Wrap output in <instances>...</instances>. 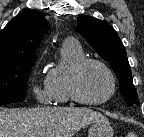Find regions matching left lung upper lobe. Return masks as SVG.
Here are the masks:
<instances>
[{
	"instance_id": "5c2ea615",
	"label": "left lung upper lobe",
	"mask_w": 144,
	"mask_h": 137,
	"mask_svg": "<svg viewBox=\"0 0 144 137\" xmlns=\"http://www.w3.org/2000/svg\"><path fill=\"white\" fill-rule=\"evenodd\" d=\"M77 22L81 36L102 58L112 64L125 102L129 106L137 103L138 95L132 82L127 54L116 31L106 21L87 15L79 17Z\"/></svg>"
}]
</instances>
